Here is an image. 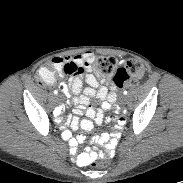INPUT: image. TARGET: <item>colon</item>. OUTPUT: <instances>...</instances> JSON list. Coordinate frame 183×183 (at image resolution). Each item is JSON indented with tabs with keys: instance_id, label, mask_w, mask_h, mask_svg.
<instances>
[{
	"instance_id": "1",
	"label": "colon",
	"mask_w": 183,
	"mask_h": 183,
	"mask_svg": "<svg viewBox=\"0 0 183 183\" xmlns=\"http://www.w3.org/2000/svg\"><path fill=\"white\" fill-rule=\"evenodd\" d=\"M96 69L105 77H112L115 86L119 89L133 88L138 85L139 81L145 76V66L138 61H118L114 56L99 57L96 60ZM75 70L71 65L64 66L61 72L52 68L39 70L38 80L43 84H49L55 79L57 73L70 74ZM109 159L103 154L98 157L88 159L97 167H105Z\"/></svg>"
}]
</instances>
